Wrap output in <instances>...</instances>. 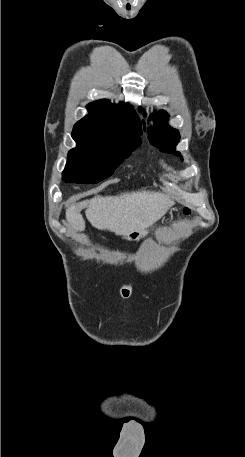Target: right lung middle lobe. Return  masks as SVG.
<instances>
[{"label": "right lung middle lobe", "mask_w": 245, "mask_h": 457, "mask_svg": "<svg viewBox=\"0 0 245 457\" xmlns=\"http://www.w3.org/2000/svg\"><path fill=\"white\" fill-rule=\"evenodd\" d=\"M142 131L132 127L75 124L77 147L68 153L66 182L97 183L110 176L140 144Z\"/></svg>", "instance_id": "dd1d6c3e"}]
</instances>
